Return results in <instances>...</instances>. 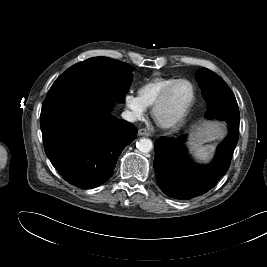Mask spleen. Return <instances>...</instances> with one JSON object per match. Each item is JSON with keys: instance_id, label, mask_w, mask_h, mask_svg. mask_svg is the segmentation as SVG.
<instances>
[{"instance_id": "1", "label": "spleen", "mask_w": 267, "mask_h": 267, "mask_svg": "<svg viewBox=\"0 0 267 267\" xmlns=\"http://www.w3.org/2000/svg\"><path fill=\"white\" fill-rule=\"evenodd\" d=\"M214 150H215V146L211 144H207L203 146L201 143H198L193 148V155L198 161L205 162L210 159Z\"/></svg>"}]
</instances>
